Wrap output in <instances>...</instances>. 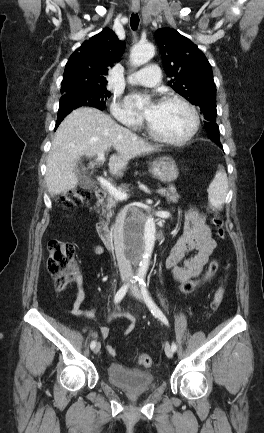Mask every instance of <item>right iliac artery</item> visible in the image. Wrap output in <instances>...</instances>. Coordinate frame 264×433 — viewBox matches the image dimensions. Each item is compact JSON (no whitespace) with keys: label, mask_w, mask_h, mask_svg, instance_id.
<instances>
[{"label":"right iliac artery","mask_w":264,"mask_h":433,"mask_svg":"<svg viewBox=\"0 0 264 433\" xmlns=\"http://www.w3.org/2000/svg\"><path fill=\"white\" fill-rule=\"evenodd\" d=\"M137 280H138V278H137V277H134L133 280H132V282H133V281L135 282V281H137ZM128 288H129V284L127 283L126 285L122 286V287L119 289V291L116 293V295H115V297H114V302H115V303H118V302H120V301L122 300V298L125 296V294H126ZM95 345H96V342H95V341H92L91 344H90V348L93 349V348L95 347Z\"/></svg>","instance_id":"1"}]
</instances>
